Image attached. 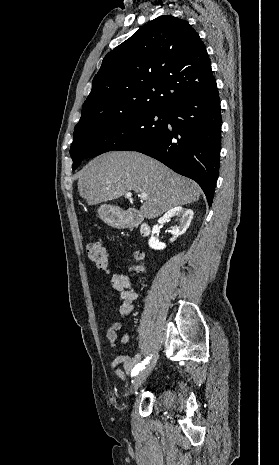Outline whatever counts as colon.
<instances>
[{
	"mask_svg": "<svg viewBox=\"0 0 279 465\" xmlns=\"http://www.w3.org/2000/svg\"><path fill=\"white\" fill-rule=\"evenodd\" d=\"M87 254L92 263L100 270H108V256L104 246L96 240H92L87 244ZM142 259V253L136 252L134 254V260L136 262ZM131 270L140 274L142 272V267L138 264H134L131 267Z\"/></svg>",
	"mask_w": 279,
	"mask_h": 465,
	"instance_id": "1",
	"label": "colon"
}]
</instances>
